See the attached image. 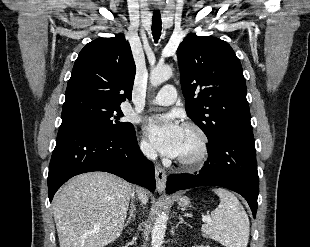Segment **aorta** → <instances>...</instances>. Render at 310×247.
I'll list each match as a JSON object with an SVG mask.
<instances>
[{
  "label": "aorta",
  "mask_w": 310,
  "mask_h": 247,
  "mask_svg": "<svg viewBox=\"0 0 310 247\" xmlns=\"http://www.w3.org/2000/svg\"><path fill=\"white\" fill-rule=\"evenodd\" d=\"M173 72L170 66H157L150 73V84L157 87L161 83L167 81L172 76ZM167 226V215L161 213L155 220L152 233L151 245L152 247H162Z\"/></svg>",
  "instance_id": "762f6f07"
}]
</instances>
